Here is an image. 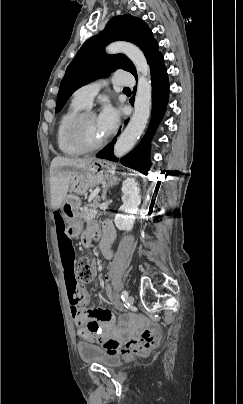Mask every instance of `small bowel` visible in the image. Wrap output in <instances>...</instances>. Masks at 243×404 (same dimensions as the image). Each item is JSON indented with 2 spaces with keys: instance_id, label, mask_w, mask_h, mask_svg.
<instances>
[{
  "instance_id": "small-bowel-1",
  "label": "small bowel",
  "mask_w": 243,
  "mask_h": 404,
  "mask_svg": "<svg viewBox=\"0 0 243 404\" xmlns=\"http://www.w3.org/2000/svg\"><path fill=\"white\" fill-rule=\"evenodd\" d=\"M54 223L65 284L71 302L70 312L78 329L79 337L85 341L98 342L106 337L116 336L118 330L115 326L114 315L110 310L103 308L85 309L72 302L71 294L82 291L75 278V252L71 240L65 232L64 218L59 211L54 213ZM95 231H97L96 225L90 224L87 232L83 235V243L86 247H89L90 236ZM114 237V228L110 223H105L100 248L106 258L111 257L110 246Z\"/></svg>"
}]
</instances>
